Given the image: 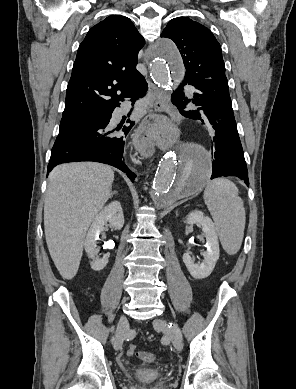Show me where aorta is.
<instances>
[{
	"label": "aorta",
	"mask_w": 296,
	"mask_h": 389,
	"mask_svg": "<svg viewBox=\"0 0 296 389\" xmlns=\"http://www.w3.org/2000/svg\"><path fill=\"white\" fill-rule=\"evenodd\" d=\"M155 55L150 65L152 79L162 88L170 89V80H183L185 69L175 44L159 39L154 47ZM184 149L169 153L160 161L152 187L154 206L162 209L178 198L195 194L201 184L211 176V156L192 140L183 143ZM176 189V190H175Z\"/></svg>",
	"instance_id": "1"
}]
</instances>
